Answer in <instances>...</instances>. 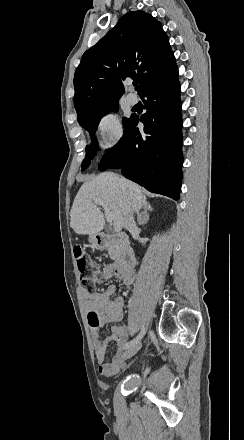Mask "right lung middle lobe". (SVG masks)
<instances>
[{"label":"right lung middle lobe","instance_id":"1","mask_svg":"<svg viewBox=\"0 0 244 440\" xmlns=\"http://www.w3.org/2000/svg\"><path fill=\"white\" fill-rule=\"evenodd\" d=\"M118 101L119 99L107 100L92 108L76 110L79 124L82 125L92 137L91 144L86 147L87 154L82 162V171L90 165L91 160L96 155L98 145L94 134L100 119L109 111H117L119 108ZM127 121V118L123 119L124 126L126 125Z\"/></svg>","mask_w":244,"mask_h":440}]
</instances>
